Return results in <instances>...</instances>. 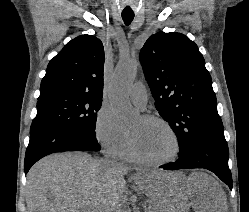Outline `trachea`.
I'll use <instances>...</instances> for the list:
<instances>
[{
    "label": "trachea",
    "mask_w": 249,
    "mask_h": 212,
    "mask_svg": "<svg viewBox=\"0 0 249 212\" xmlns=\"http://www.w3.org/2000/svg\"><path fill=\"white\" fill-rule=\"evenodd\" d=\"M122 19L125 22L126 25H130V23L132 22L133 18H134V13H122Z\"/></svg>",
    "instance_id": "3493384b"
}]
</instances>
